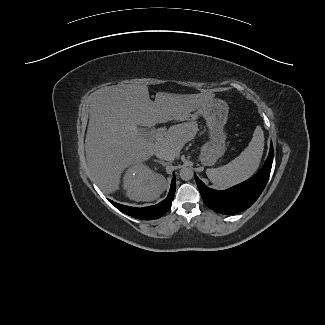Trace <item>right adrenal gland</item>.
I'll return each mask as SVG.
<instances>
[{
  "instance_id": "1",
  "label": "right adrenal gland",
  "mask_w": 325,
  "mask_h": 325,
  "mask_svg": "<svg viewBox=\"0 0 325 325\" xmlns=\"http://www.w3.org/2000/svg\"><path fill=\"white\" fill-rule=\"evenodd\" d=\"M154 162H157V163H159V164H162L163 166H166V165H167L166 162L161 161V160H154Z\"/></svg>"
}]
</instances>
